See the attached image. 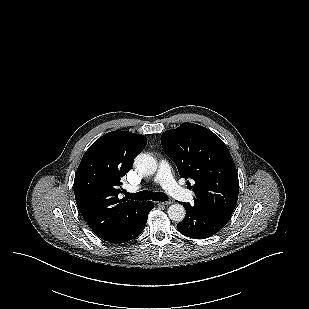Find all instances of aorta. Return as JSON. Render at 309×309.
Listing matches in <instances>:
<instances>
[{"mask_svg":"<svg viewBox=\"0 0 309 309\" xmlns=\"http://www.w3.org/2000/svg\"><path fill=\"white\" fill-rule=\"evenodd\" d=\"M134 164L136 169L144 175H152L157 170V161L149 154H138L134 160ZM167 212L169 218L176 222H181L186 215L185 208L181 204L171 205Z\"/></svg>","mask_w":309,"mask_h":309,"instance_id":"aorta-1","label":"aorta"}]
</instances>
